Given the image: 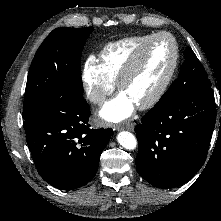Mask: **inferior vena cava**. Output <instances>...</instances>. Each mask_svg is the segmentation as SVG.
Segmentation results:
<instances>
[{"mask_svg":"<svg viewBox=\"0 0 221 221\" xmlns=\"http://www.w3.org/2000/svg\"><path fill=\"white\" fill-rule=\"evenodd\" d=\"M89 99L92 103L99 104V105H102L103 102L105 101V97L98 93H91L89 95Z\"/></svg>","mask_w":221,"mask_h":221,"instance_id":"obj_1","label":"inferior vena cava"}]
</instances>
